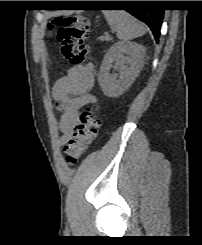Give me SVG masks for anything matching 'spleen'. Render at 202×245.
Here are the masks:
<instances>
[{"instance_id": "spleen-1", "label": "spleen", "mask_w": 202, "mask_h": 245, "mask_svg": "<svg viewBox=\"0 0 202 245\" xmlns=\"http://www.w3.org/2000/svg\"><path fill=\"white\" fill-rule=\"evenodd\" d=\"M108 24L123 42L145 34V27L126 11H103Z\"/></svg>"}]
</instances>
